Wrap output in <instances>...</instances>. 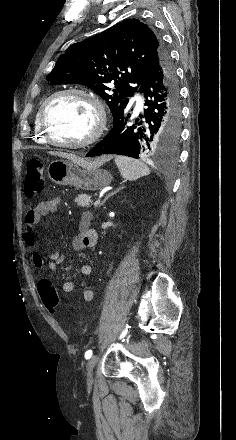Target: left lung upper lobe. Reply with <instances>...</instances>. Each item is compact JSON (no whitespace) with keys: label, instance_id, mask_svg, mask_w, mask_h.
<instances>
[{"label":"left lung upper lobe","instance_id":"5c2ea615","mask_svg":"<svg viewBox=\"0 0 236 440\" xmlns=\"http://www.w3.org/2000/svg\"><path fill=\"white\" fill-rule=\"evenodd\" d=\"M163 52L167 49L162 39L149 26L138 19H127L71 45L47 80L54 85L89 87L107 102L114 120L126 109L151 60ZM111 82L115 89L108 86Z\"/></svg>","mask_w":236,"mask_h":440}]
</instances>
